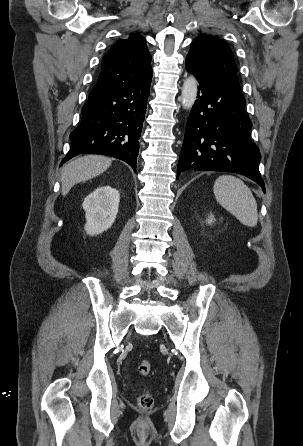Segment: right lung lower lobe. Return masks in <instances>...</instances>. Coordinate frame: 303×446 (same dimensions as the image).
I'll return each mask as SVG.
<instances>
[{
    "instance_id": "1",
    "label": "right lung lower lobe",
    "mask_w": 303,
    "mask_h": 446,
    "mask_svg": "<svg viewBox=\"0 0 303 446\" xmlns=\"http://www.w3.org/2000/svg\"><path fill=\"white\" fill-rule=\"evenodd\" d=\"M152 75L134 84L90 96L82 119L71 134V148L61 164L78 154H102L121 159L136 171L139 138Z\"/></svg>"
}]
</instances>
